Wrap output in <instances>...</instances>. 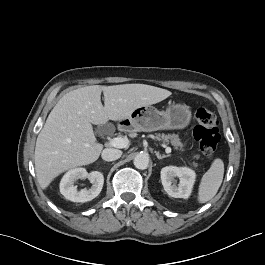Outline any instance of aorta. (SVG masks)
Here are the masks:
<instances>
[{"mask_svg": "<svg viewBox=\"0 0 265 265\" xmlns=\"http://www.w3.org/2000/svg\"><path fill=\"white\" fill-rule=\"evenodd\" d=\"M133 163L137 169H141V170L147 169L148 164H149L148 154H146V153L137 154L134 158Z\"/></svg>", "mask_w": 265, "mask_h": 265, "instance_id": "obj_1", "label": "aorta"}]
</instances>
